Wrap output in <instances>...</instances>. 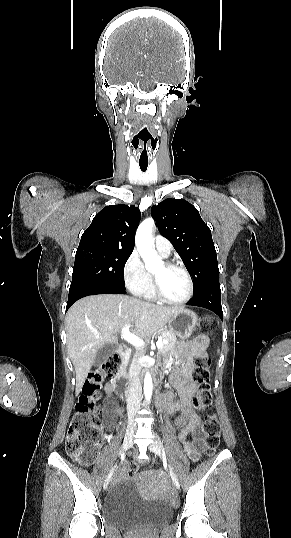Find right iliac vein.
<instances>
[{
    "label": "right iliac vein",
    "instance_id": "63e3f726",
    "mask_svg": "<svg viewBox=\"0 0 291 538\" xmlns=\"http://www.w3.org/2000/svg\"><path fill=\"white\" fill-rule=\"evenodd\" d=\"M135 429H136L135 423L129 422L128 425H127V429H126V433H125V437H124V442H123V450L124 451L128 450L131 447ZM115 471H116V466H114L112 468L111 472L106 477V479L104 481V488H106L108 486V484L110 482V479H111V476Z\"/></svg>",
    "mask_w": 291,
    "mask_h": 538
}]
</instances>
